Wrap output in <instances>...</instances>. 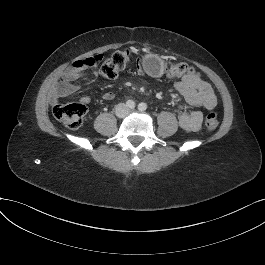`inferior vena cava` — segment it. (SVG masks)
I'll use <instances>...</instances> for the list:
<instances>
[{"mask_svg":"<svg viewBox=\"0 0 265 265\" xmlns=\"http://www.w3.org/2000/svg\"><path fill=\"white\" fill-rule=\"evenodd\" d=\"M122 110H125V113L128 111V107L126 104L124 103H120L116 106V113L117 112H121L122 113Z\"/></svg>","mask_w":265,"mask_h":265,"instance_id":"obj_1","label":"inferior vena cava"}]
</instances>
